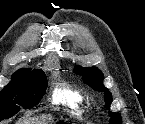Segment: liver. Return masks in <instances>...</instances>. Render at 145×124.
Instances as JSON below:
<instances>
[{"instance_id": "6515ba94", "label": "liver", "mask_w": 145, "mask_h": 124, "mask_svg": "<svg viewBox=\"0 0 145 124\" xmlns=\"http://www.w3.org/2000/svg\"><path fill=\"white\" fill-rule=\"evenodd\" d=\"M51 118L47 116L37 117V118H26L20 120L18 124H48Z\"/></svg>"}]
</instances>
